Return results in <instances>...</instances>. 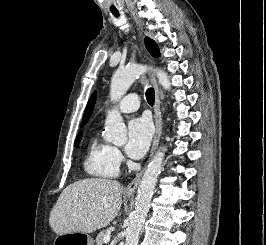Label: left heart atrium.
I'll use <instances>...</instances> for the list:
<instances>
[{"mask_svg":"<svg viewBox=\"0 0 266 245\" xmlns=\"http://www.w3.org/2000/svg\"><path fill=\"white\" fill-rule=\"evenodd\" d=\"M153 135V126L146 117L133 119L128 124L126 154L133 159H138L146 152Z\"/></svg>","mask_w":266,"mask_h":245,"instance_id":"39dd6f15","label":"left heart atrium"}]
</instances>
